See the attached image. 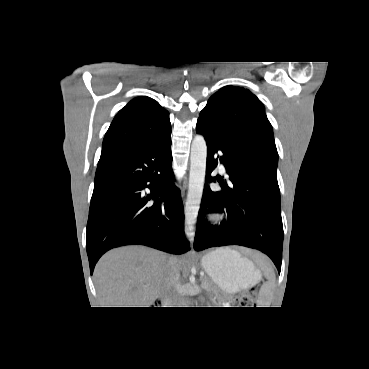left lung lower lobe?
<instances>
[{
    "mask_svg": "<svg viewBox=\"0 0 369 369\" xmlns=\"http://www.w3.org/2000/svg\"><path fill=\"white\" fill-rule=\"evenodd\" d=\"M197 133L207 142L206 179L218 181L222 190L211 191L205 184L197 220L194 249L240 245L268 255L279 273L282 261L283 225L278 182L268 171L258 169V162L244 151L229 145L207 123L198 119ZM222 151L229 181L211 177L217 166L214 154ZM257 170H253V167ZM227 213L219 225L209 224L207 213Z\"/></svg>",
    "mask_w": 369,
    "mask_h": 369,
    "instance_id": "0a47b994",
    "label": "left lung lower lobe"
}]
</instances>
